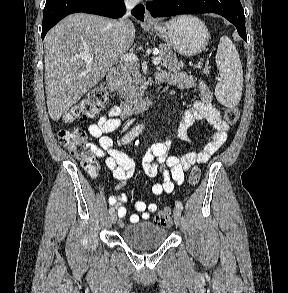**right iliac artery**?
Listing matches in <instances>:
<instances>
[{"label": "right iliac artery", "instance_id": "1", "mask_svg": "<svg viewBox=\"0 0 288 293\" xmlns=\"http://www.w3.org/2000/svg\"><path fill=\"white\" fill-rule=\"evenodd\" d=\"M141 131H142L141 126H137V127L133 128L131 131H129L127 134L124 135V137L121 140L122 143L127 144V143L131 142L135 137H137L140 134ZM113 212H114V208L110 207L109 213L112 214Z\"/></svg>", "mask_w": 288, "mask_h": 293}]
</instances>
